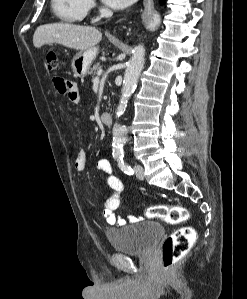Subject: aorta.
Listing matches in <instances>:
<instances>
[{
  "instance_id": "obj_1",
  "label": "aorta",
  "mask_w": 247,
  "mask_h": 299,
  "mask_svg": "<svg viewBox=\"0 0 247 299\" xmlns=\"http://www.w3.org/2000/svg\"><path fill=\"white\" fill-rule=\"evenodd\" d=\"M145 48L138 45L133 49L132 57L129 60L125 74L119 105L115 111L116 119H119L127 108V103L134 93L140 73L144 67ZM113 141L112 151L115 155L123 153V146L127 142V128L119 123H115L112 129Z\"/></svg>"
}]
</instances>
